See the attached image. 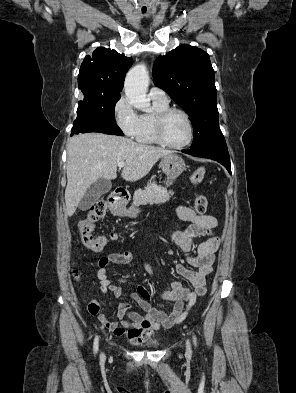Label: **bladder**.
Segmentation results:
<instances>
[{
    "label": "bladder",
    "mask_w": 296,
    "mask_h": 393,
    "mask_svg": "<svg viewBox=\"0 0 296 393\" xmlns=\"http://www.w3.org/2000/svg\"><path fill=\"white\" fill-rule=\"evenodd\" d=\"M160 344V342L159 341H152V342H150V343H148V347H157L158 345Z\"/></svg>",
    "instance_id": "31cf9c89"
}]
</instances>
